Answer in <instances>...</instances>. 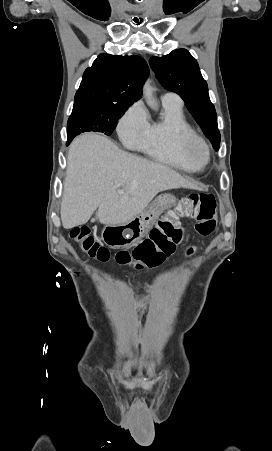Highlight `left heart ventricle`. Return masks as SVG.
<instances>
[{
  "instance_id": "b2bd125f",
  "label": "left heart ventricle",
  "mask_w": 272,
  "mask_h": 451,
  "mask_svg": "<svg viewBox=\"0 0 272 451\" xmlns=\"http://www.w3.org/2000/svg\"><path fill=\"white\" fill-rule=\"evenodd\" d=\"M194 161H195V164L198 166L203 165L205 162V155L203 154V152H201L200 150H195L194 151Z\"/></svg>"
}]
</instances>
